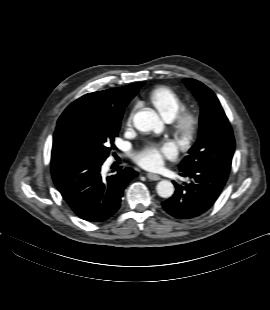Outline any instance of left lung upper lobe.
I'll list each match as a JSON object with an SVG mask.
<instances>
[{
  "label": "left lung upper lobe",
  "instance_id": "5c2ea615",
  "mask_svg": "<svg viewBox=\"0 0 270 310\" xmlns=\"http://www.w3.org/2000/svg\"><path fill=\"white\" fill-rule=\"evenodd\" d=\"M201 105L199 137L189 155L180 163V170L202 167L229 174L235 141L229 121L216 95L194 79H184Z\"/></svg>",
  "mask_w": 270,
  "mask_h": 310
}]
</instances>
